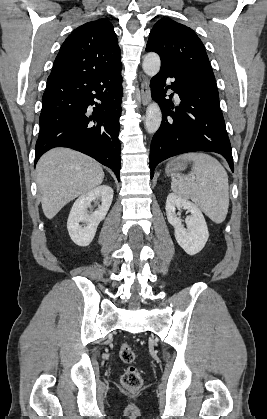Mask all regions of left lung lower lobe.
<instances>
[{"label":"left lung lower lobe","mask_w":267,"mask_h":419,"mask_svg":"<svg viewBox=\"0 0 267 419\" xmlns=\"http://www.w3.org/2000/svg\"><path fill=\"white\" fill-rule=\"evenodd\" d=\"M168 77L175 81L165 87ZM150 87L152 98L158 102L163 114L161 126L151 142V178L161 161L193 151L219 153L233 171L231 145L215 80L190 71L161 67L151 79ZM170 87L181 99L178 106L171 102L173 94L169 95L170 99L165 98Z\"/></svg>","instance_id":"0a47b994"}]
</instances>
